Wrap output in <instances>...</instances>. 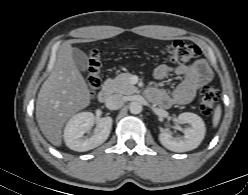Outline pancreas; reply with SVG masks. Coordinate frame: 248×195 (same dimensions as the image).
<instances>
[{"label":"pancreas","mask_w":248,"mask_h":195,"mask_svg":"<svg viewBox=\"0 0 248 195\" xmlns=\"http://www.w3.org/2000/svg\"><path fill=\"white\" fill-rule=\"evenodd\" d=\"M130 73H122L114 79H108L105 82V88L111 93H120L130 95L137 92V87L130 83Z\"/></svg>","instance_id":"obj_1"}]
</instances>
